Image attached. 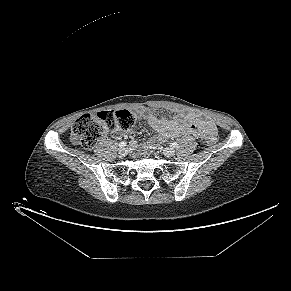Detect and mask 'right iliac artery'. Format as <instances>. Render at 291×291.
I'll return each mask as SVG.
<instances>
[{"instance_id":"obj_1","label":"right iliac artery","mask_w":291,"mask_h":291,"mask_svg":"<svg viewBox=\"0 0 291 291\" xmlns=\"http://www.w3.org/2000/svg\"><path fill=\"white\" fill-rule=\"evenodd\" d=\"M127 145V142L122 141L119 143V147H125Z\"/></svg>"}]
</instances>
